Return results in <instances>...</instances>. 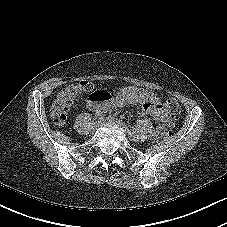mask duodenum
Here are the masks:
<instances>
[{"mask_svg":"<svg viewBox=\"0 0 227 227\" xmlns=\"http://www.w3.org/2000/svg\"><path fill=\"white\" fill-rule=\"evenodd\" d=\"M93 107L97 110L96 112H98V110H102L103 104L93 103Z\"/></svg>","mask_w":227,"mask_h":227,"instance_id":"1","label":"duodenum"}]
</instances>
